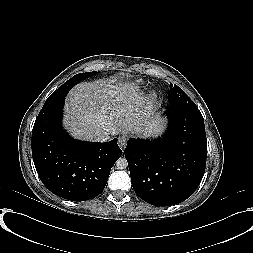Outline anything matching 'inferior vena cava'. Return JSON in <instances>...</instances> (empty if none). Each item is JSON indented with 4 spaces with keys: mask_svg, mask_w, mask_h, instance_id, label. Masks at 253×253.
<instances>
[{
    "mask_svg": "<svg viewBox=\"0 0 253 253\" xmlns=\"http://www.w3.org/2000/svg\"><path fill=\"white\" fill-rule=\"evenodd\" d=\"M110 139L109 134L105 133L95 138L97 142H105Z\"/></svg>",
    "mask_w": 253,
    "mask_h": 253,
    "instance_id": "inferior-vena-cava-1",
    "label": "inferior vena cava"
}]
</instances>
